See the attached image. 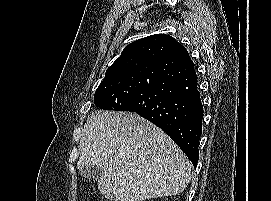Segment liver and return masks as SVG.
<instances>
[{"mask_svg":"<svg viewBox=\"0 0 271 201\" xmlns=\"http://www.w3.org/2000/svg\"><path fill=\"white\" fill-rule=\"evenodd\" d=\"M77 169L96 165L100 193L113 201H144L182 193L191 164L160 128L136 113L97 111L84 125Z\"/></svg>","mask_w":271,"mask_h":201,"instance_id":"obj_1","label":"liver"}]
</instances>
